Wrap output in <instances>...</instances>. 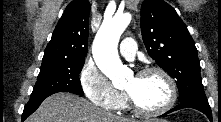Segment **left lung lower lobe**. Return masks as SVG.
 Listing matches in <instances>:
<instances>
[{
  "instance_id": "0a47b994",
  "label": "left lung lower lobe",
  "mask_w": 221,
  "mask_h": 122,
  "mask_svg": "<svg viewBox=\"0 0 221 122\" xmlns=\"http://www.w3.org/2000/svg\"><path fill=\"white\" fill-rule=\"evenodd\" d=\"M182 108H194L197 109L209 118L210 121H212V113H211V108L209 106V103L206 98H201V99H194V100H189L185 102H181L178 106L175 108L171 109L170 111L166 112L164 115L171 113L173 111L182 109Z\"/></svg>"
}]
</instances>
